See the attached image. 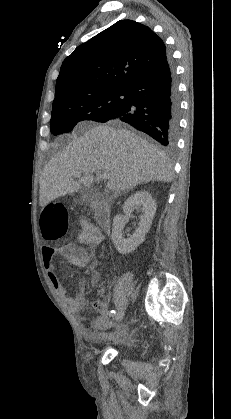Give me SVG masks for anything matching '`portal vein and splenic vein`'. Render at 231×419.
Here are the masks:
<instances>
[{
    "instance_id": "portal-vein-and-splenic-vein-1",
    "label": "portal vein and splenic vein",
    "mask_w": 231,
    "mask_h": 419,
    "mask_svg": "<svg viewBox=\"0 0 231 419\" xmlns=\"http://www.w3.org/2000/svg\"><path fill=\"white\" fill-rule=\"evenodd\" d=\"M81 175V173L80 172H74L73 173V176H75V177H79ZM97 175H98V179H102V180H105L107 177H108V175L107 174H105V173H101V172H97Z\"/></svg>"
}]
</instances>
